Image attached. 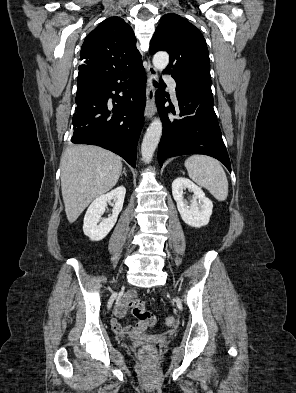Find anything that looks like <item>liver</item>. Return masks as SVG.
<instances>
[{"instance_id": "liver-1", "label": "liver", "mask_w": 296, "mask_h": 393, "mask_svg": "<svg viewBox=\"0 0 296 393\" xmlns=\"http://www.w3.org/2000/svg\"><path fill=\"white\" fill-rule=\"evenodd\" d=\"M61 190L69 223L112 189L121 175L122 162L114 153L92 145L68 147L62 154Z\"/></svg>"}]
</instances>
